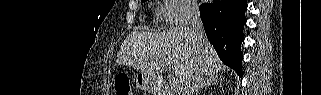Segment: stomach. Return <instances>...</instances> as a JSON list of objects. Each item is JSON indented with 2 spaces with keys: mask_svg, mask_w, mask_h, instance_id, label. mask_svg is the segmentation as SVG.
I'll use <instances>...</instances> for the list:
<instances>
[{
  "mask_svg": "<svg viewBox=\"0 0 321 95\" xmlns=\"http://www.w3.org/2000/svg\"><path fill=\"white\" fill-rule=\"evenodd\" d=\"M137 86L146 92L153 91V84L151 78L144 72H138L135 76Z\"/></svg>",
  "mask_w": 321,
  "mask_h": 95,
  "instance_id": "obj_1",
  "label": "stomach"
}]
</instances>
